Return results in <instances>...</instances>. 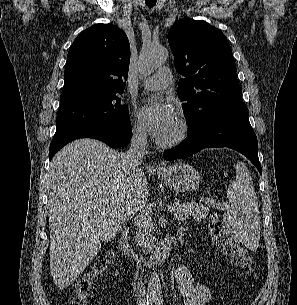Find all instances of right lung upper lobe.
I'll use <instances>...</instances> for the list:
<instances>
[{"instance_id":"1","label":"right lung upper lobe","mask_w":297,"mask_h":305,"mask_svg":"<svg viewBox=\"0 0 297 305\" xmlns=\"http://www.w3.org/2000/svg\"><path fill=\"white\" fill-rule=\"evenodd\" d=\"M129 63L130 45L124 31L112 24L86 29L68 52L60 100L124 90Z\"/></svg>"}]
</instances>
